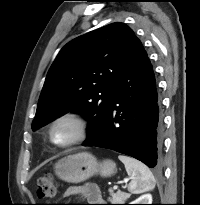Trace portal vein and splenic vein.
Instances as JSON below:
<instances>
[{
    "label": "portal vein and splenic vein",
    "mask_w": 200,
    "mask_h": 205,
    "mask_svg": "<svg viewBox=\"0 0 200 205\" xmlns=\"http://www.w3.org/2000/svg\"><path fill=\"white\" fill-rule=\"evenodd\" d=\"M117 188H118V186H117V185H115V186H114V189H117Z\"/></svg>",
    "instance_id": "obj_1"
}]
</instances>
